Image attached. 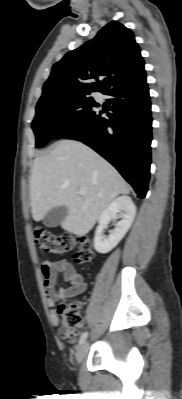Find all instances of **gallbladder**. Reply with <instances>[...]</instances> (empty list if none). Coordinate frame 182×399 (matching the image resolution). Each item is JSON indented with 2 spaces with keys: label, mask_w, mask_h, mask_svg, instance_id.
Returning <instances> with one entry per match:
<instances>
[{
  "label": "gallbladder",
  "mask_w": 182,
  "mask_h": 399,
  "mask_svg": "<svg viewBox=\"0 0 182 399\" xmlns=\"http://www.w3.org/2000/svg\"><path fill=\"white\" fill-rule=\"evenodd\" d=\"M68 208L65 206H57L47 212L43 223L45 226L53 228L57 227L67 216Z\"/></svg>",
  "instance_id": "bac80fb5"
}]
</instances>
